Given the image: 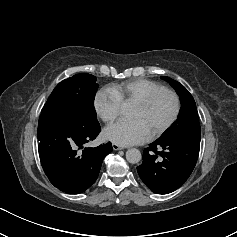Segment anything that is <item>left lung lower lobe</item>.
Masks as SVG:
<instances>
[{"mask_svg":"<svg viewBox=\"0 0 237 237\" xmlns=\"http://www.w3.org/2000/svg\"><path fill=\"white\" fill-rule=\"evenodd\" d=\"M199 149L200 138L157 139L144 149L138 174L151 191L158 194L173 192L192 173Z\"/></svg>","mask_w":237,"mask_h":237,"instance_id":"left-lung-lower-lobe-1","label":"left lung lower lobe"}]
</instances>
